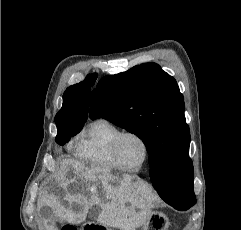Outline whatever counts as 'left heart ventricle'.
I'll return each mask as SVG.
<instances>
[{"mask_svg":"<svg viewBox=\"0 0 241 230\" xmlns=\"http://www.w3.org/2000/svg\"><path fill=\"white\" fill-rule=\"evenodd\" d=\"M120 159L129 167H137L144 159V147L142 143L133 136H127L120 145Z\"/></svg>","mask_w":241,"mask_h":230,"instance_id":"obj_1","label":"left heart ventricle"}]
</instances>
